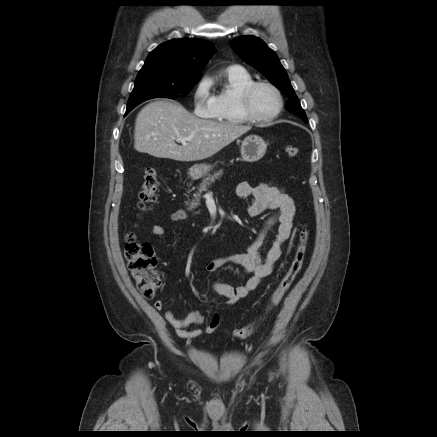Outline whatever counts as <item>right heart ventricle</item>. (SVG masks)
<instances>
[{
    "label": "right heart ventricle",
    "instance_id": "e07e8e85",
    "mask_svg": "<svg viewBox=\"0 0 437 437\" xmlns=\"http://www.w3.org/2000/svg\"><path fill=\"white\" fill-rule=\"evenodd\" d=\"M224 86L215 95L216 111L214 118L228 124H244L249 120L244 116L240 96L246 86L254 80L243 68L233 66L223 73Z\"/></svg>",
    "mask_w": 437,
    "mask_h": 437
}]
</instances>
